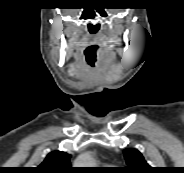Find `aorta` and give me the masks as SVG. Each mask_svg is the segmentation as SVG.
Wrapping results in <instances>:
<instances>
[{
    "label": "aorta",
    "instance_id": "1",
    "mask_svg": "<svg viewBox=\"0 0 184 173\" xmlns=\"http://www.w3.org/2000/svg\"><path fill=\"white\" fill-rule=\"evenodd\" d=\"M77 165H88L86 167H92L94 165V160L90 154H84L76 162Z\"/></svg>",
    "mask_w": 184,
    "mask_h": 173
}]
</instances>
